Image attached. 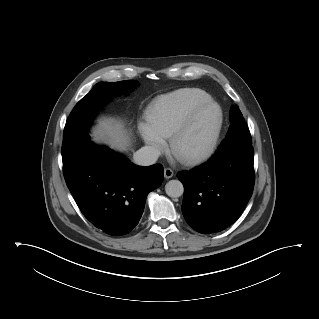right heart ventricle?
Wrapping results in <instances>:
<instances>
[{"instance_id":"1","label":"right heart ventricle","mask_w":319,"mask_h":319,"mask_svg":"<svg viewBox=\"0 0 319 319\" xmlns=\"http://www.w3.org/2000/svg\"><path fill=\"white\" fill-rule=\"evenodd\" d=\"M211 96L198 88H183L155 98L147 110L148 124L163 137H171L198 105Z\"/></svg>"}]
</instances>
